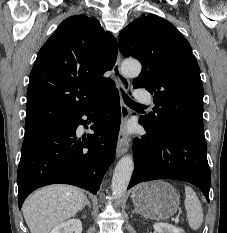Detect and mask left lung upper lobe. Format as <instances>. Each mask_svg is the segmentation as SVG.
<instances>
[{"mask_svg": "<svg viewBox=\"0 0 227 233\" xmlns=\"http://www.w3.org/2000/svg\"><path fill=\"white\" fill-rule=\"evenodd\" d=\"M123 56L141 61L134 88L154 95L155 113L142 118L153 133L172 128L205 141L200 68L185 37L167 20L142 15L119 34Z\"/></svg>", "mask_w": 227, "mask_h": 233, "instance_id": "5c2ea615", "label": "left lung upper lobe"}]
</instances>
